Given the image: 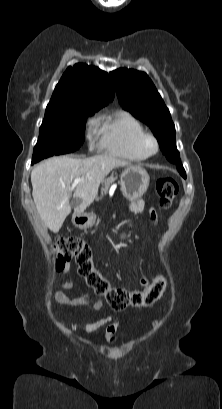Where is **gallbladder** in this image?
Instances as JSON below:
<instances>
[{
  "label": "gallbladder",
  "instance_id": "1",
  "mask_svg": "<svg viewBox=\"0 0 222 409\" xmlns=\"http://www.w3.org/2000/svg\"><path fill=\"white\" fill-rule=\"evenodd\" d=\"M74 205H76V201L74 200V203H73Z\"/></svg>",
  "mask_w": 222,
  "mask_h": 409
}]
</instances>
